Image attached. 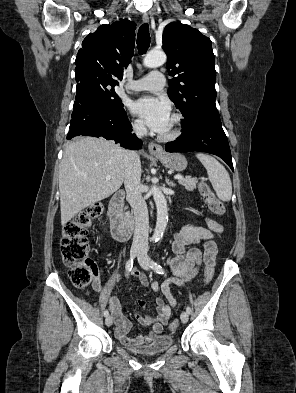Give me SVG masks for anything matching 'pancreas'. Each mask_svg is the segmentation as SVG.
I'll return each mask as SVG.
<instances>
[{"label":"pancreas","instance_id":"1","mask_svg":"<svg viewBox=\"0 0 296 393\" xmlns=\"http://www.w3.org/2000/svg\"><path fill=\"white\" fill-rule=\"evenodd\" d=\"M179 184L185 187L188 191H193L196 188L197 179L192 177H185L180 179Z\"/></svg>","mask_w":296,"mask_h":393}]
</instances>
